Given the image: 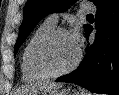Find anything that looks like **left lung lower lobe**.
<instances>
[{
  "mask_svg": "<svg viewBox=\"0 0 119 95\" xmlns=\"http://www.w3.org/2000/svg\"><path fill=\"white\" fill-rule=\"evenodd\" d=\"M95 41L87 47L79 67L56 79L71 82L92 92L119 95V0H102L97 5ZM92 27H85L86 35Z\"/></svg>",
  "mask_w": 119,
  "mask_h": 95,
  "instance_id": "1",
  "label": "left lung lower lobe"
}]
</instances>
